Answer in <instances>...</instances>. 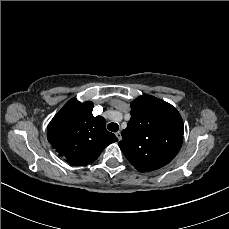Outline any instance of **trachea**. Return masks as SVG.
Listing matches in <instances>:
<instances>
[{"label": "trachea", "mask_w": 229, "mask_h": 229, "mask_svg": "<svg viewBox=\"0 0 229 229\" xmlns=\"http://www.w3.org/2000/svg\"><path fill=\"white\" fill-rule=\"evenodd\" d=\"M107 129H108L109 131H112V132H117L118 129H119V126H118L117 123H109V124L107 125Z\"/></svg>", "instance_id": "3493384b"}]
</instances>
